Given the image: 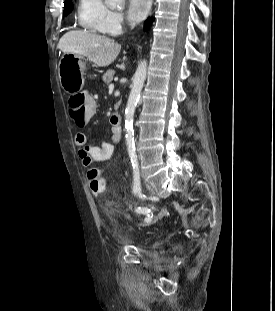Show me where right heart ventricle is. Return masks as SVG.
I'll return each mask as SVG.
<instances>
[{"label": "right heart ventricle", "instance_id": "1", "mask_svg": "<svg viewBox=\"0 0 275 311\" xmlns=\"http://www.w3.org/2000/svg\"><path fill=\"white\" fill-rule=\"evenodd\" d=\"M111 10L105 0H79L76 20L81 29L97 35L108 34L107 19Z\"/></svg>", "mask_w": 275, "mask_h": 311}]
</instances>
